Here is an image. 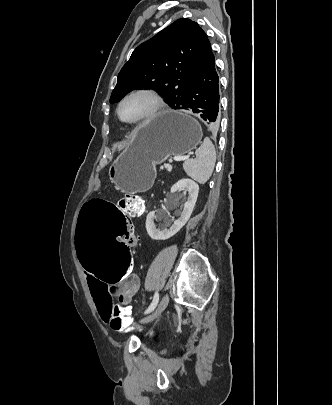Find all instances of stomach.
Returning a JSON list of instances; mask_svg holds the SVG:
<instances>
[{"instance_id":"stomach-1","label":"stomach","mask_w":332,"mask_h":405,"mask_svg":"<svg viewBox=\"0 0 332 405\" xmlns=\"http://www.w3.org/2000/svg\"><path fill=\"white\" fill-rule=\"evenodd\" d=\"M199 122L186 111L161 112L139 124L126 150L109 168V178L125 193L148 189L155 166L171 156H183L202 140Z\"/></svg>"}]
</instances>
